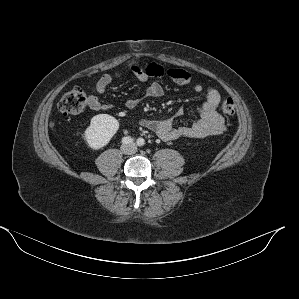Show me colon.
I'll list each match as a JSON object with an SVG mask.
<instances>
[{
	"instance_id": "obj_1",
	"label": "colon",
	"mask_w": 299,
	"mask_h": 299,
	"mask_svg": "<svg viewBox=\"0 0 299 299\" xmlns=\"http://www.w3.org/2000/svg\"><path fill=\"white\" fill-rule=\"evenodd\" d=\"M87 104V96L81 87H73L61 98L58 109L63 115H75L80 113ZM221 111L230 116L234 113L235 105L232 98H226L221 102Z\"/></svg>"
}]
</instances>
